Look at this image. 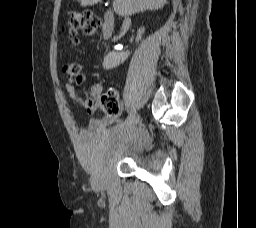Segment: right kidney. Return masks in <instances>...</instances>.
<instances>
[{
    "instance_id": "right-kidney-1",
    "label": "right kidney",
    "mask_w": 256,
    "mask_h": 228,
    "mask_svg": "<svg viewBox=\"0 0 256 228\" xmlns=\"http://www.w3.org/2000/svg\"><path fill=\"white\" fill-rule=\"evenodd\" d=\"M144 32V28L138 30V34L136 37V42L141 40V35ZM130 55L129 51L126 52H109L103 60V68L104 69H113L123 63Z\"/></svg>"
}]
</instances>
